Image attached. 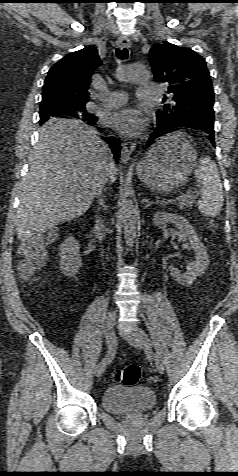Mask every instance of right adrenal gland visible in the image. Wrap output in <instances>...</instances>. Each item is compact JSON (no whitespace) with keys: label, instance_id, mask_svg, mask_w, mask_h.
<instances>
[{"label":"right adrenal gland","instance_id":"obj_1","mask_svg":"<svg viewBox=\"0 0 238 476\" xmlns=\"http://www.w3.org/2000/svg\"><path fill=\"white\" fill-rule=\"evenodd\" d=\"M99 196H100V198H99V201H98V210H100V209L106 210V205H105L102 193Z\"/></svg>","mask_w":238,"mask_h":476}]
</instances>
